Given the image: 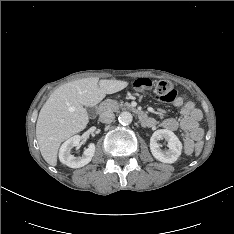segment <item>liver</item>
<instances>
[{
  "label": "liver",
  "instance_id": "1",
  "mask_svg": "<svg viewBox=\"0 0 234 234\" xmlns=\"http://www.w3.org/2000/svg\"><path fill=\"white\" fill-rule=\"evenodd\" d=\"M128 82L90 77L69 82L56 89L40 110L36 138L44 160L57 164L60 144L85 129L89 116L85 107H94L106 94L121 91Z\"/></svg>",
  "mask_w": 234,
  "mask_h": 234
}]
</instances>
